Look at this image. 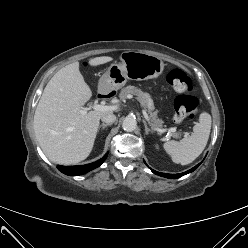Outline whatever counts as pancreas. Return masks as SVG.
I'll return each mask as SVG.
<instances>
[{"mask_svg": "<svg viewBox=\"0 0 248 248\" xmlns=\"http://www.w3.org/2000/svg\"><path fill=\"white\" fill-rule=\"evenodd\" d=\"M129 94L136 95L141 105L146 108L149 113V119L152 125L156 128H162L163 121L157 117V113L154 111V103L151 96L148 93L143 92L138 87L129 85L121 90L119 96L120 100L124 101ZM173 136L177 137L178 134H173Z\"/></svg>", "mask_w": 248, "mask_h": 248, "instance_id": "cf45deb5", "label": "pancreas"}]
</instances>
